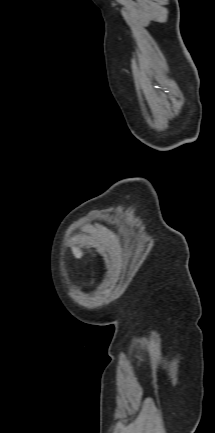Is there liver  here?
Here are the masks:
<instances>
[{"instance_id":"1","label":"liver","mask_w":215,"mask_h":433,"mask_svg":"<svg viewBox=\"0 0 215 433\" xmlns=\"http://www.w3.org/2000/svg\"><path fill=\"white\" fill-rule=\"evenodd\" d=\"M72 251L76 258H81L83 255L82 251L79 248L73 247Z\"/></svg>"}]
</instances>
